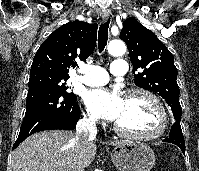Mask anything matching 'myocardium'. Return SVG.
I'll return each instance as SVG.
<instances>
[{
    "instance_id": "myocardium-1",
    "label": "myocardium",
    "mask_w": 199,
    "mask_h": 171,
    "mask_svg": "<svg viewBox=\"0 0 199 171\" xmlns=\"http://www.w3.org/2000/svg\"><path fill=\"white\" fill-rule=\"evenodd\" d=\"M136 94H140L143 96H146L154 105L157 113H158V118H159V126L156 129V131H154L153 133H132V132H128L123 130L116 122L114 123V130L117 134L129 138V139H134V140H144V141H148V140H154L157 139L159 137H161L168 126V115H167V111L162 103V101L159 99V97L154 94L153 92L142 88V87H134L129 89L126 93H125V98H128L132 95H136Z\"/></svg>"
}]
</instances>
